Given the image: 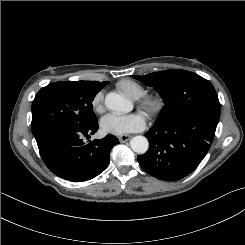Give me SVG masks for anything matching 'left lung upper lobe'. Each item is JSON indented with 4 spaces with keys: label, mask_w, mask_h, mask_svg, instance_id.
<instances>
[{
    "label": "left lung upper lobe",
    "mask_w": 245,
    "mask_h": 245,
    "mask_svg": "<svg viewBox=\"0 0 245 245\" xmlns=\"http://www.w3.org/2000/svg\"><path fill=\"white\" fill-rule=\"evenodd\" d=\"M132 77L153 86L164 99L165 106L154 126L170 124L193 113L220 116L221 105L213 85L196 73L175 69Z\"/></svg>",
    "instance_id": "5c2ea615"
}]
</instances>
